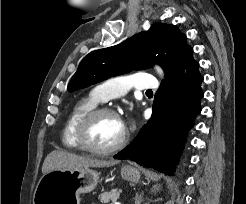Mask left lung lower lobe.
<instances>
[{"mask_svg":"<svg viewBox=\"0 0 246 204\" xmlns=\"http://www.w3.org/2000/svg\"><path fill=\"white\" fill-rule=\"evenodd\" d=\"M192 53V48L187 49L166 75L155 95L152 117L115 159H130L144 167L173 174L186 132L201 111L203 77Z\"/></svg>","mask_w":246,"mask_h":204,"instance_id":"obj_1","label":"left lung lower lobe"}]
</instances>
